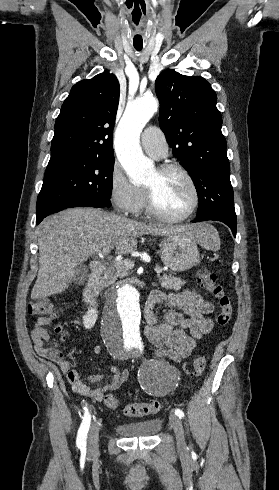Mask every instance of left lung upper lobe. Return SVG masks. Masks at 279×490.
<instances>
[{
	"mask_svg": "<svg viewBox=\"0 0 279 490\" xmlns=\"http://www.w3.org/2000/svg\"><path fill=\"white\" fill-rule=\"evenodd\" d=\"M155 88L161 104L160 127L197 190L196 217L216 213L236 218L215 91L202 77H188L170 69L157 77Z\"/></svg>",
	"mask_w": 279,
	"mask_h": 490,
	"instance_id": "5c2ea615",
	"label": "left lung upper lobe"
}]
</instances>
